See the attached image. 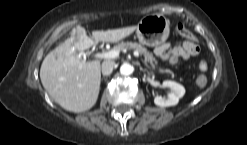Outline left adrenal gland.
I'll list each match as a JSON object with an SVG mask.
<instances>
[{
  "instance_id": "obj_1",
  "label": "left adrenal gland",
  "mask_w": 247,
  "mask_h": 145,
  "mask_svg": "<svg viewBox=\"0 0 247 145\" xmlns=\"http://www.w3.org/2000/svg\"><path fill=\"white\" fill-rule=\"evenodd\" d=\"M148 74H153L152 72H148Z\"/></svg>"
}]
</instances>
